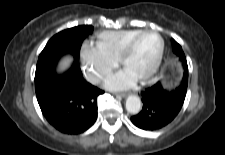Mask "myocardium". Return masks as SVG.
Returning <instances> with one entry per match:
<instances>
[{"mask_svg": "<svg viewBox=\"0 0 225 155\" xmlns=\"http://www.w3.org/2000/svg\"><path fill=\"white\" fill-rule=\"evenodd\" d=\"M146 34H155L158 36V38L160 40V49H159L157 59H156L155 63L153 64L152 68L149 70V72L146 75H144L142 78L139 79L141 82H146V81L150 80L156 74V72L158 71V69L162 63L164 51H165V41H164L162 35L158 31L152 30V29H146V30L140 31L126 43V45L122 49L121 54L118 59L119 64L121 66H124L126 59L132 53L138 40Z\"/></svg>", "mask_w": 225, "mask_h": 155, "instance_id": "obj_1", "label": "myocardium"}]
</instances>
